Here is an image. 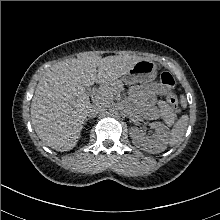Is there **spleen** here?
<instances>
[{
	"instance_id": "3e777b00",
	"label": "spleen",
	"mask_w": 220,
	"mask_h": 220,
	"mask_svg": "<svg viewBox=\"0 0 220 220\" xmlns=\"http://www.w3.org/2000/svg\"><path fill=\"white\" fill-rule=\"evenodd\" d=\"M182 104L185 105L184 99H182ZM188 120L189 117L187 115H183L179 120L176 121L169 135L170 146H175L181 141L186 132Z\"/></svg>"
}]
</instances>
